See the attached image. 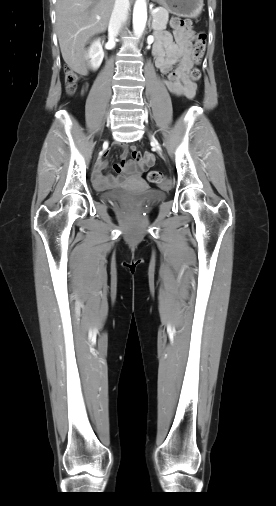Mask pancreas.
<instances>
[{"label":"pancreas","instance_id":"obj_1","mask_svg":"<svg viewBox=\"0 0 276 506\" xmlns=\"http://www.w3.org/2000/svg\"><path fill=\"white\" fill-rule=\"evenodd\" d=\"M169 13L168 11L160 7L158 11L153 14V28L155 31H162L166 29V25L168 23Z\"/></svg>","mask_w":276,"mask_h":506}]
</instances>
